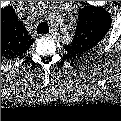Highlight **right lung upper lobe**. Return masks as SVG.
I'll return each instance as SVG.
<instances>
[{
  "mask_svg": "<svg viewBox=\"0 0 121 121\" xmlns=\"http://www.w3.org/2000/svg\"><path fill=\"white\" fill-rule=\"evenodd\" d=\"M31 39L12 7L1 9V55L14 58L24 54L31 46Z\"/></svg>",
  "mask_w": 121,
  "mask_h": 121,
  "instance_id": "1",
  "label": "right lung upper lobe"
}]
</instances>
